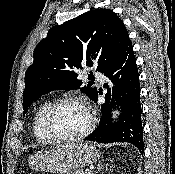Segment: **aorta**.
Here are the masks:
<instances>
[{"label": "aorta", "mask_w": 175, "mask_h": 174, "mask_svg": "<svg viewBox=\"0 0 175 174\" xmlns=\"http://www.w3.org/2000/svg\"><path fill=\"white\" fill-rule=\"evenodd\" d=\"M112 115H113V118H114V119L117 118L118 110H117V111H113V112H112Z\"/></svg>", "instance_id": "1"}]
</instances>
